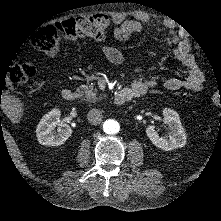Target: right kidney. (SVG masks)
<instances>
[{
	"instance_id": "right-kidney-1",
	"label": "right kidney",
	"mask_w": 221,
	"mask_h": 221,
	"mask_svg": "<svg viewBox=\"0 0 221 221\" xmlns=\"http://www.w3.org/2000/svg\"><path fill=\"white\" fill-rule=\"evenodd\" d=\"M61 108L54 107L45 113L36 126V137L38 142L47 146H58L66 142L72 135V128L63 124L59 119ZM59 125L57 130L54 128Z\"/></svg>"
}]
</instances>
